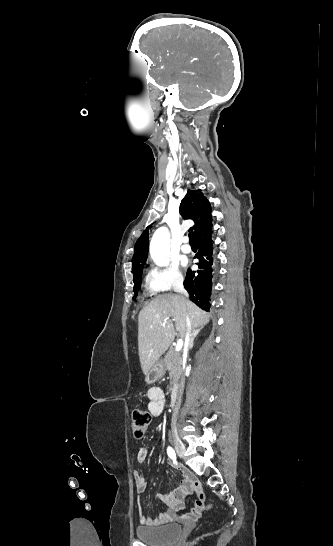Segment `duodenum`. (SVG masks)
I'll return each mask as SVG.
<instances>
[{"instance_id": "obj_1", "label": "duodenum", "mask_w": 333, "mask_h": 546, "mask_svg": "<svg viewBox=\"0 0 333 546\" xmlns=\"http://www.w3.org/2000/svg\"><path fill=\"white\" fill-rule=\"evenodd\" d=\"M178 401V390L173 389L171 391V403L175 405Z\"/></svg>"}]
</instances>
